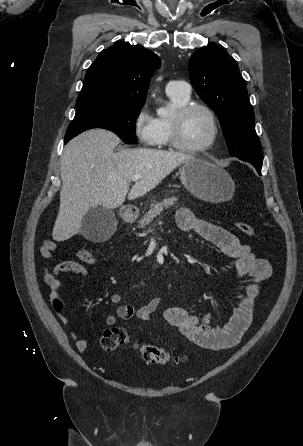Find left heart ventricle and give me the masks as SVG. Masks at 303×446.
Wrapping results in <instances>:
<instances>
[{
  "label": "left heart ventricle",
  "mask_w": 303,
  "mask_h": 446,
  "mask_svg": "<svg viewBox=\"0 0 303 446\" xmlns=\"http://www.w3.org/2000/svg\"><path fill=\"white\" fill-rule=\"evenodd\" d=\"M211 132V123L207 114L202 110H194L183 120L181 140L188 146H201L209 140Z\"/></svg>",
  "instance_id": "1"
}]
</instances>
